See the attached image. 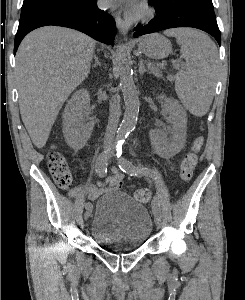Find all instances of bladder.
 Masks as SVG:
<instances>
[{"mask_svg":"<svg viewBox=\"0 0 245 300\" xmlns=\"http://www.w3.org/2000/svg\"><path fill=\"white\" fill-rule=\"evenodd\" d=\"M153 232L146 207L122 191H109L96 203L89 234L100 246L115 251L142 247Z\"/></svg>","mask_w":245,"mask_h":300,"instance_id":"obj_1","label":"bladder"}]
</instances>
